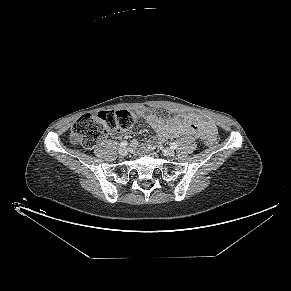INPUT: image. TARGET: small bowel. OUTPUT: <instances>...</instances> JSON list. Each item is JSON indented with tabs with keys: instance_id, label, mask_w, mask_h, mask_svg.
<instances>
[{
	"instance_id": "c3829d8e",
	"label": "small bowel",
	"mask_w": 291,
	"mask_h": 291,
	"mask_svg": "<svg viewBox=\"0 0 291 291\" xmlns=\"http://www.w3.org/2000/svg\"><path fill=\"white\" fill-rule=\"evenodd\" d=\"M136 116L146 119L148 124L157 133L160 141L172 136H195L204 138L206 134L216 131V127L211 121L204 120L194 113H184L164 119L150 110L140 109L136 111ZM136 144L137 142H133V145Z\"/></svg>"
}]
</instances>
